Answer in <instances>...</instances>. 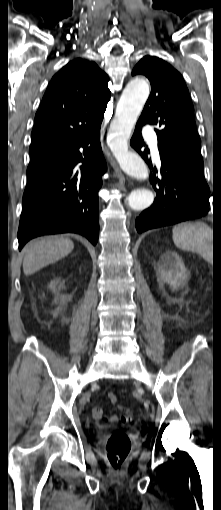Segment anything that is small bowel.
Masks as SVG:
<instances>
[{"label":"small bowel","instance_id":"obj_1","mask_svg":"<svg viewBox=\"0 0 221 510\" xmlns=\"http://www.w3.org/2000/svg\"><path fill=\"white\" fill-rule=\"evenodd\" d=\"M122 409L126 413H129V411L126 408H122ZM92 414H93L94 418H96L98 420H102L104 422H116L117 421V417L115 415L107 416L104 413V410L101 406H95L92 409Z\"/></svg>","mask_w":221,"mask_h":510}]
</instances>
